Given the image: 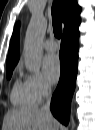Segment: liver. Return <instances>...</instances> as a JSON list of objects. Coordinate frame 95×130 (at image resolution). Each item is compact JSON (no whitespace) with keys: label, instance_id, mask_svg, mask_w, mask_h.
<instances>
[{"label":"liver","instance_id":"6515ba94","mask_svg":"<svg viewBox=\"0 0 95 130\" xmlns=\"http://www.w3.org/2000/svg\"><path fill=\"white\" fill-rule=\"evenodd\" d=\"M3 130H58V122L39 109H10Z\"/></svg>","mask_w":95,"mask_h":130}]
</instances>
